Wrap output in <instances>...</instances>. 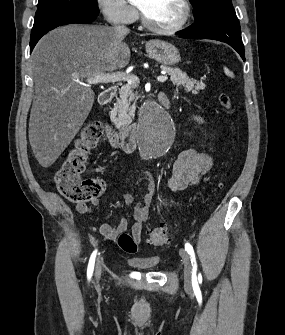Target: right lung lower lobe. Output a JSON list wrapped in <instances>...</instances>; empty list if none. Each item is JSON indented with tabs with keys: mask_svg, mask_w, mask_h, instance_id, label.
I'll use <instances>...</instances> for the list:
<instances>
[{
	"mask_svg": "<svg viewBox=\"0 0 285 335\" xmlns=\"http://www.w3.org/2000/svg\"><path fill=\"white\" fill-rule=\"evenodd\" d=\"M97 16L98 15L79 11H60L35 20L30 37V53L38 40L50 30L66 24L90 23L94 21Z\"/></svg>",
	"mask_w": 285,
	"mask_h": 335,
	"instance_id": "98d812e1",
	"label": "right lung lower lobe"
}]
</instances>
